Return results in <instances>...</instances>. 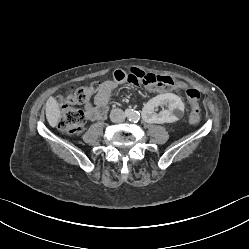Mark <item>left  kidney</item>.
Instances as JSON below:
<instances>
[{"instance_id":"left-kidney-1","label":"left kidney","mask_w":249,"mask_h":249,"mask_svg":"<svg viewBox=\"0 0 249 249\" xmlns=\"http://www.w3.org/2000/svg\"><path fill=\"white\" fill-rule=\"evenodd\" d=\"M184 107L185 100L181 95L164 92L143 107V120L148 125L168 124L181 117Z\"/></svg>"}]
</instances>
